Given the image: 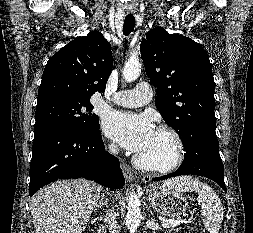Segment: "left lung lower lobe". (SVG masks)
<instances>
[{
	"label": "left lung lower lobe",
	"mask_w": 253,
	"mask_h": 233,
	"mask_svg": "<svg viewBox=\"0 0 253 233\" xmlns=\"http://www.w3.org/2000/svg\"><path fill=\"white\" fill-rule=\"evenodd\" d=\"M183 146L186 151L185 158L178 170L162 177L153 178V181L194 174L214 180L227 192L223 164L219 154V142L215 131L199 129ZM145 180L148 181V178Z\"/></svg>",
	"instance_id": "obj_1"
}]
</instances>
